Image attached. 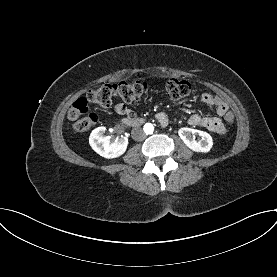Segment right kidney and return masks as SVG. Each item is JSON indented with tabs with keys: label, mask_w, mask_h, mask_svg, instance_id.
Listing matches in <instances>:
<instances>
[{
	"label": "right kidney",
	"mask_w": 277,
	"mask_h": 277,
	"mask_svg": "<svg viewBox=\"0 0 277 277\" xmlns=\"http://www.w3.org/2000/svg\"><path fill=\"white\" fill-rule=\"evenodd\" d=\"M105 131V127H98L92 131L89 137L91 148L100 156L108 159L124 154L127 149L128 139L126 137H107L104 135Z\"/></svg>",
	"instance_id": "1"
}]
</instances>
